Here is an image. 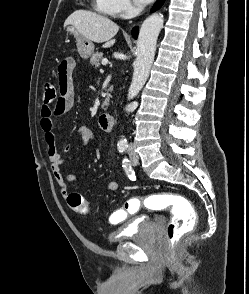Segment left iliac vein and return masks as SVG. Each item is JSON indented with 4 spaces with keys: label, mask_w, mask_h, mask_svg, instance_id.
I'll use <instances>...</instances> for the list:
<instances>
[{
    "label": "left iliac vein",
    "mask_w": 249,
    "mask_h": 294,
    "mask_svg": "<svg viewBox=\"0 0 249 294\" xmlns=\"http://www.w3.org/2000/svg\"><path fill=\"white\" fill-rule=\"evenodd\" d=\"M130 160H131V163L133 164V165H137L138 164V156H137V154L134 152V151H131L130 152Z\"/></svg>",
    "instance_id": "1"
}]
</instances>
